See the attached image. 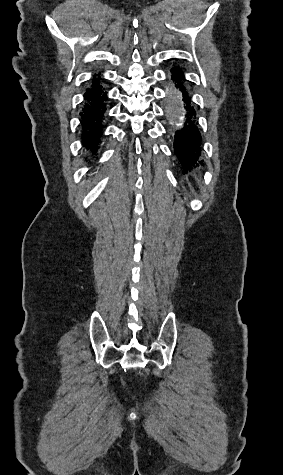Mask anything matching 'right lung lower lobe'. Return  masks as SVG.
<instances>
[{
	"mask_svg": "<svg viewBox=\"0 0 283 475\" xmlns=\"http://www.w3.org/2000/svg\"><path fill=\"white\" fill-rule=\"evenodd\" d=\"M100 74L93 75L88 81L84 101L80 107V135L83 147L89 156L94 157L99 149L107 118V91Z\"/></svg>",
	"mask_w": 283,
	"mask_h": 475,
	"instance_id": "right-lung-lower-lobe-1",
	"label": "right lung lower lobe"
}]
</instances>
